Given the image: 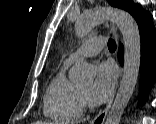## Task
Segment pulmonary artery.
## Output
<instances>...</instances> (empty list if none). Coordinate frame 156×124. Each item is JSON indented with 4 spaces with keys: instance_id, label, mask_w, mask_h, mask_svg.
I'll return each instance as SVG.
<instances>
[{
    "instance_id": "pulmonary-artery-1",
    "label": "pulmonary artery",
    "mask_w": 156,
    "mask_h": 124,
    "mask_svg": "<svg viewBox=\"0 0 156 124\" xmlns=\"http://www.w3.org/2000/svg\"><path fill=\"white\" fill-rule=\"evenodd\" d=\"M104 47V38L96 36L87 39L65 60V65H70L79 59L95 56L100 53Z\"/></svg>"
}]
</instances>
